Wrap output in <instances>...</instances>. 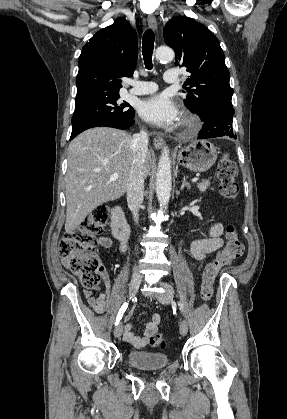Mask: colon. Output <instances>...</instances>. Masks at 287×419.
<instances>
[{
  "label": "colon",
  "mask_w": 287,
  "mask_h": 419,
  "mask_svg": "<svg viewBox=\"0 0 287 419\" xmlns=\"http://www.w3.org/2000/svg\"><path fill=\"white\" fill-rule=\"evenodd\" d=\"M216 173L221 194L235 201L239 194L237 170L234 161L228 155L220 159ZM108 212L106 205L95 207L74 231L61 239L59 244L60 254L68 260L71 271L79 276L81 284L88 290H96L100 284L101 260L96 253L97 236L104 231ZM226 238L227 244L224 249L205 266L201 289L205 301H209L213 296L214 281L220 269L243 256L244 245L233 224L227 226ZM150 342L154 347L162 349L168 346V341L160 334H154Z\"/></svg>",
  "instance_id": "colon-1"
}]
</instances>
